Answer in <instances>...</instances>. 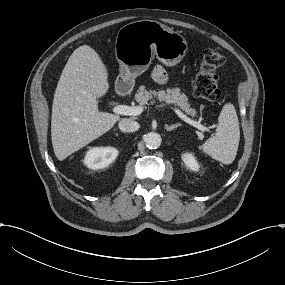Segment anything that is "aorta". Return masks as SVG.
<instances>
[{
    "label": "aorta",
    "instance_id": "762f6f07",
    "mask_svg": "<svg viewBox=\"0 0 285 285\" xmlns=\"http://www.w3.org/2000/svg\"><path fill=\"white\" fill-rule=\"evenodd\" d=\"M161 136L156 132L144 135V142L149 149H157L161 145Z\"/></svg>",
    "mask_w": 285,
    "mask_h": 285
}]
</instances>
